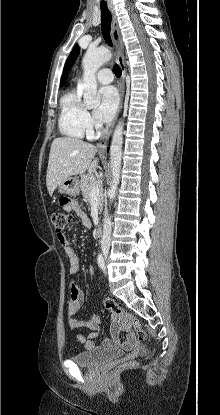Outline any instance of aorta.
<instances>
[{
	"label": "aorta",
	"mask_w": 220,
	"mask_h": 415,
	"mask_svg": "<svg viewBox=\"0 0 220 415\" xmlns=\"http://www.w3.org/2000/svg\"><path fill=\"white\" fill-rule=\"evenodd\" d=\"M112 57L111 52L106 48L91 49L89 48L82 60L84 104L88 107L98 106L100 97L97 94L96 72L97 70ZM123 145V125L119 122L114 130L110 146V164L112 171V182L108 189V197L112 203L116 197L117 187L120 179L121 160Z\"/></svg>",
	"instance_id": "obj_1"
}]
</instances>
